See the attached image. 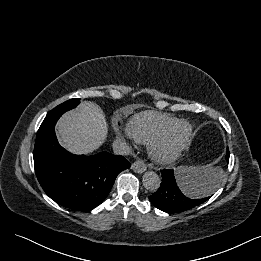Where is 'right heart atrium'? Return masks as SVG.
I'll list each match as a JSON object with an SVG mask.
<instances>
[{"label":"right heart atrium","mask_w":261,"mask_h":261,"mask_svg":"<svg viewBox=\"0 0 261 261\" xmlns=\"http://www.w3.org/2000/svg\"><path fill=\"white\" fill-rule=\"evenodd\" d=\"M114 131L117 136L123 139L130 140L132 138L127 128H122L117 126L114 128Z\"/></svg>","instance_id":"1"}]
</instances>
